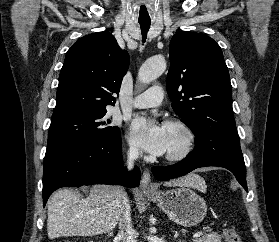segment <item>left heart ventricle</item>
I'll return each instance as SVG.
<instances>
[{"mask_svg":"<svg viewBox=\"0 0 279 242\" xmlns=\"http://www.w3.org/2000/svg\"><path fill=\"white\" fill-rule=\"evenodd\" d=\"M166 134H167L166 153L178 151L181 148L183 143L181 132L176 128L166 126Z\"/></svg>","mask_w":279,"mask_h":242,"instance_id":"1","label":"left heart ventricle"}]
</instances>
